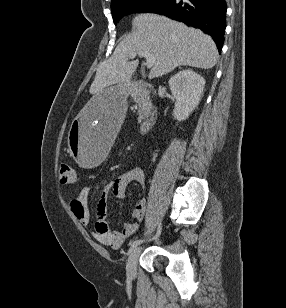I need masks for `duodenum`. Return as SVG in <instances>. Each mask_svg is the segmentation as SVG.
<instances>
[{
	"label": "duodenum",
	"instance_id": "duodenum-1",
	"mask_svg": "<svg viewBox=\"0 0 286 308\" xmlns=\"http://www.w3.org/2000/svg\"><path fill=\"white\" fill-rule=\"evenodd\" d=\"M137 84L141 87H151V84L146 80H139L137 82ZM157 113H158V110L155 107V108L152 109V111L148 115V117L141 122L140 131L142 133H145L148 130V128L155 122V120L157 118Z\"/></svg>",
	"mask_w": 286,
	"mask_h": 308
}]
</instances>
